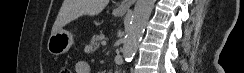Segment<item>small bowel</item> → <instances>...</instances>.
Segmentation results:
<instances>
[{
  "label": "small bowel",
  "instance_id": "obj_1",
  "mask_svg": "<svg viewBox=\"0 0 244 73\" xmlns=\"http://www.w3.org/2000/svg\"><path fill=\"white\" fill-rule=\"evenodd\" d=\"M76 73H90V66L86 61H78L75 65Z\"/></svg>",
  "mask_w": 244,
  "mask_h": 73
}]
</instances>
